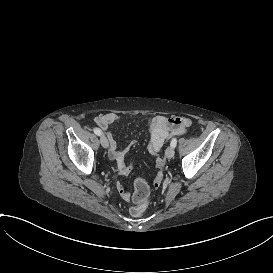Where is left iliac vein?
Segmentation results:
<instances>
[{
    "instance_id": "left-iliac-vein-1",
    "label": "left iliac vein",
    "mask_w": 273,
    "mask_h": 273,
    "mask_svg": "<svg viewBox=\"0 0 273 273\" xmlns=\"http://www.w3.org/2000/svg\"><path fill=\"white\" fill-rule=\"evenodd\" d=\"M175 154L174 148L169 146L167 147L166 151H165V156L169 159H171Z\"/></svg>"
}]
</instances>
